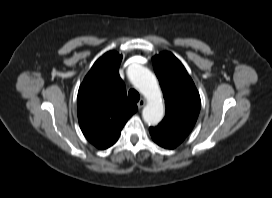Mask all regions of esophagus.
Returning <instances> with one entry per match:
<instances>
[{"label": "esophagus", "instance_id": "obj_1", "mask_svg": "<svg viewBox=\"0 0 272 198\" xmlns=\"http://www.w3.org/2000/svg\"><path fill=\"white\" fill-rule=\"evenodd\" d=\"M144 105H145V100L144 99H140L139 102L137 103V106H138L139 109L144 107Z\"/></svg>", "mask_w": 272, "mask_h": 198}]
</instances>
